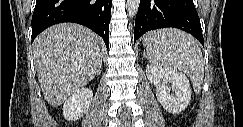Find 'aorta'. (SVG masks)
<instances>
[{
	"label": "aorta",
	"mask_w": 243,
	"mask_h": 127,
	"mask_svg": "<svg viewBox=\"0 0 243 127\" xmlns=\"http://www.w3.org/2000/svg\"><path fill=\"white\" fill-rule=\"evenodd\" d=\"M140 0H127V12L130 18H133L139 8Z\"/></svg>",
	"instance_id": "1"
}]
</instances>
